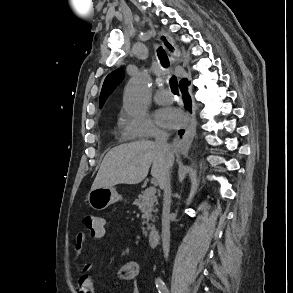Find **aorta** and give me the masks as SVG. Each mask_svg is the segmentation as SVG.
<instances>
[{
  "instance_id": "obj_1",
  "label": "aorta",
  "mask_w": 293,
  "mask_h": 293,
  "mask_svg": "<svg viewBox=\"0 0 293 293\" xmlns=\"http://www.w3.org/2000/svg\"><path fill=\"white\" fill-rule=\"evenodd\" d=\"M150 77L147 73L134 76L126 86L124 104L126 109L136 115H142L147 109V95Z\"/></svg>"
}]
</instances>
